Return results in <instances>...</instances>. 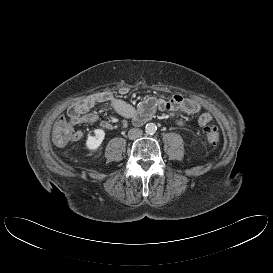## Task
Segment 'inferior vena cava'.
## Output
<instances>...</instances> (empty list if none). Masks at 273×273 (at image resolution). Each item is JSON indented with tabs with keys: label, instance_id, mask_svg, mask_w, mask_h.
Listing matches in <instances>:
<instances>
[{
	"label": "inferior vena cava",
	"instance_id": "1",
	"mask_svg": "<svg viewBox=\"0 0 273 273\" xmlns=\"http://www.w3.org/2000/svg\"><path fill=\"white\" fill-rule=\"evenodd\" d=\"M142 134H143V132L141 129L132 128L128 132V137H129V139L133 140V139L140 138L142 136Z\"/></svg>",
	"mask_w": 273,
	"mask_h": 273
}]
</instances>
